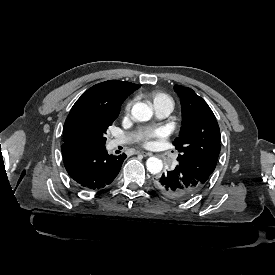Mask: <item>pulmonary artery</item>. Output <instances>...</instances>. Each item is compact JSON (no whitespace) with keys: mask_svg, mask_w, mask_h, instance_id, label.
Wrapping results in <instances>:
<instances>
[{"mask_svg":"<svg viewBox=\"0 0 275 275\" xmlns=\"http://www.w3.org/2000/svg\"><path fill=\"white\" fill-rule=\"evenodd\" d=\"M153 108L156 111L153 115V118L157 122L165 121L169 117V113L172 110V107L170 106L169 102L163 98H158L153 103ZM125 143L122 139H112L109 142V148L115 149L119 145ZM169 165L171 167H176L178 165V160L176 158H171L169 160Z\"/></svg>","mask_w":275,"mask_h":275,"instance_id":"obj_1","label":"pulmonary artery"}]
</instances>
